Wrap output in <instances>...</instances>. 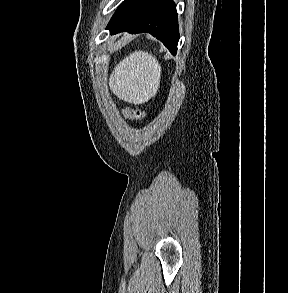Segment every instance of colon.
Masks as SVG:
<instances>
[{
  "instance_id": "colon-1",
  "label": "colon",
  "mask_w": 288,
  "mask_h": 293,
  "mask_svg": "<svg viewBox=\"0 0 288 293\" xmlns=\"http://www.w3.org/2000/svg\"><path fill=\"white\" fill-rule=\"evenodd\" d=\"M124 115L128 119L135 120V121H139L145 116L144 112H142L140 110H133V109L124 110Z\"/></svg>"
}]
</instances>
